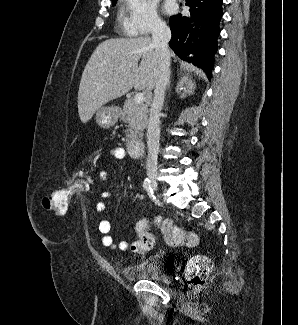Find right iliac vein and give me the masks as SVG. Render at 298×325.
<instances>
[{"label": "right iliac vein", "mask_w": 298, "mask_h": 325, "mask_svg": "<svg viewBox=\"0 0 298 325\" xmlns=\"http://www.w3.org/2000/svg\"><path fill=\"white\" fill-rule=\"evenodd\" d=\"M151 183H152L153 188L157 187V183H156V180L154 177H151Z\"/></svg>", "instance_id": "right-iliac-vein-1"}]
</instances>
